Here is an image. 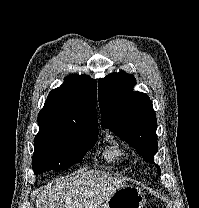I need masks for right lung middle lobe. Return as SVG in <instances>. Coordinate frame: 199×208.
Masks as SVG:
<instances>
[{
    "instance_id": "right-lung-middle-lobe-1",
    "label": "right lung middle lobe",
    "mask_w": 199,
    "mask_h": 208,
    "mask_svg": "<svg viewBox=\"0 0 199 208\" xmlns=\"http://www.w3.org/2000/svg\"><path fill=\"white\" fill-rule=\"evenodd\" d=\"M32 168L35 174L65 170L80 161L98 138L97 128L39 125Z\"/></svg>"
}]
</instances>
